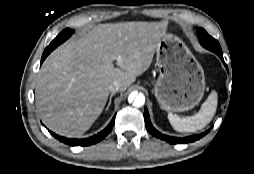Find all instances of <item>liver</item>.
<instances>
[{"mask_svg":"<svg viewBox=\"0 0 254 174\" xmlns=\"http://www.w3.org/2000/svg\"><path fill=\"white\" fill-rule=\"evenodd\" d=\"M166 29L167 22L100 24L59 46L37 77L35 103L44 124L59 135L82 136L102 113L110 84L118 81L123 92L149 68Z\"/></svg>","mask_w":254,"mask_h":174,"instance_id":"liver-1","label":"liver"}]
</instances>
